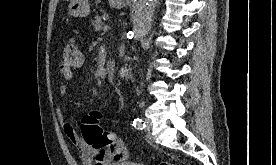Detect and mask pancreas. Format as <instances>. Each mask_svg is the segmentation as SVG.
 Segmentation results:
<instances>
[{
    "mask_svg": "<svg viewBox=\"0 0 276 165\" xmlns=\"http://www.w3.org/2000/svg\"><path fill=\"white\" fill-rule=\"evenodd\" d=\"M102 19H108V16L107 15H104L103 17L96 16L95 19L92 21V26L96 31H100L103 29Z\"/></svg>",
    "mask_w": 276,
    "mask_h": 165,
    "instance_id": "obj_1",
    "label": "pancreas"
}]
</instances>
